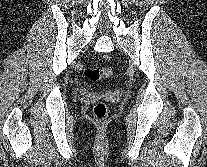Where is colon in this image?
<instances>
[{
    "mask_svg": "<svg viewBox=\"0 0 207 167\" xmlns=\"http://www.w3.org/2000/svg\"><path fill=\"white\" fill-rule=\"evenodd\" d=\"M112 75V71L109 68L103 67H87L84 70L85 78L91 83H99L103 79L109 78ZM93 115L96 120L104 121L108 115V107L104 102H98L94 105Z\"/></svg>",
    "mask_w": 207,
    "mask_h": 167,
    "instance_id": "5ec220e1",
    "label": "colon"
}]
</instances>
